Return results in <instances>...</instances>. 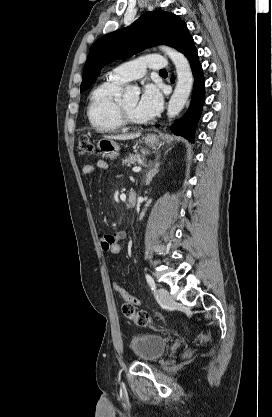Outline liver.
<instances>
[{
    "label": "liver",
    "instance_id": "1",
    "mask_svg": "<svg viewBox=\"0 0 272 417\" xmlns=\"http://www.w3.org/2000/svg\"><path fill=\"white\" fill-rule=\"evenodd\" d=\"M141 133L136 134H124V135H107L105 136L106 139L111 140H131L140 137Z\"/></svg>",
    "mask_w": 272,
    "mask_h": 417
}]
</instances>
